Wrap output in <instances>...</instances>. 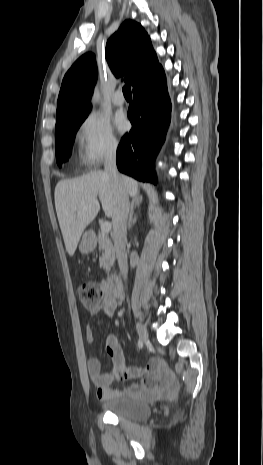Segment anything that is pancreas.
Returning a JSON list of instances; mask_svg holds the SVG:
<instances>
[{
    "instance_id": "pancreas-1",
    "label": "pancreas",
    "mask_w": 263,
    "mask_h": 465,
    "mask_svg": "<svg viewBox=\"0 0 263 465\" xmlns=\"http://www.w3.org/2000/svg\"><path fill=\"white\" fill-rule=\"evenodd\" d=\"M97 241L99 250L102 252L99 259L100 266L108 273L115 262V249L107 233L99 231Z\"/></svg>"
}]
</instances>
